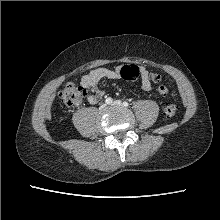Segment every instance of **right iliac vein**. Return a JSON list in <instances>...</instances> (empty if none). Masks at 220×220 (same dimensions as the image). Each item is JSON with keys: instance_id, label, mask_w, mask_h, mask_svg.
Wrapping results in <instances>:
<instances>
[{"instance_id": "63e3f726", "label": "right iliac vein", "mask_w": 220, "mask_h": 220, "mask_svg": "<svg viewBox=\"0 0 220 220\" xmlns=\"http://www.w3.org/2000/svg\"><path fill=\"white\" fill-rule=\"evenodd\" d=\"M105 107H106V104H104V103H102L100 106L101 109H104Z\"/></svg>"}]
</instances>
